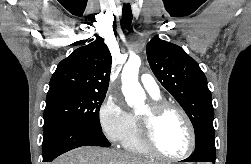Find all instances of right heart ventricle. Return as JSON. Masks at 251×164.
<instances>
[{"label": "right heart ventricle", "mask_w": 251, "mask_h": 164, "mask_svg": "<svg viewBox=\"0 0 251 164\" xmlns=\"http://www.w3.org/2000/svg\"><path fill=\"white\" fill-rule=\"evenodd\" d=\"M158 100L159 98H155ZM123 147L130 153L140 155V156H152V154L144 146L141 137V128L139 124L138 117L132 115V126L122 142Z\"/></svg>", "instance_id": "obj_1"}]
</instances>
